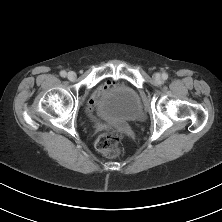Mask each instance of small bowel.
<instances>
[{"mask_svg": "<svg viewBox=\"0 0 222 222\" xmlns=\"http://www.w3.org/2000/svg\"><path fill=\"white\" fill-rule=\"evenodd\" d=\"M113 81L111 80H107L106 82H104L103 84H101L90 96L89 101H88V105H87V111L91 114L96 100L97 98L100 96L101 98H104L108 92V90L110 89L111 85H113ZM92 121L95 125V127L97 129H103L105 126L100 123L98 120H96L95 118H92Z\"/></svg>", "mask_w": 222, "mask_h": 222, "instance_id": "1", "label": "small bowel"}]
</instances>
